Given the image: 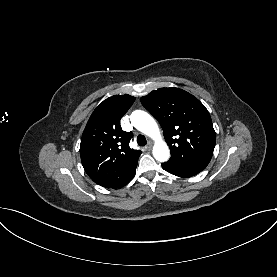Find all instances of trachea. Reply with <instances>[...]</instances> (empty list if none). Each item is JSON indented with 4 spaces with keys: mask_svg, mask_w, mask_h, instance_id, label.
<instances>
[{
    "mask_svg": "<svg viewBox=\"0 0 277 277\" xmlns=\"http://www.w3.org/2000/svg\"><path fill=\"white\" fill-rule=\"evenodd\" d=\"M137 143H138L139 146H145L147 144V140H146L145 136L138 135L137 136Z\"/></svg>",
    "mask_w": 277,
    "mask_h": 277,
    "instance_id": "obj_1",
    "label": "trachea"
}]
</instances>
